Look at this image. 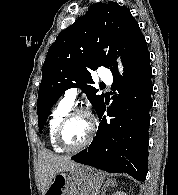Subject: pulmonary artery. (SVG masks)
Listing matches in <instances>:
<instances>
[{
    "mask_svg": "<svg viewBox=\"0 0 178 195\" xmlns=\"http://www.w3.org/2000/svg\"><path fill=\"white\" fill-rule=\"evenodd\" d=\"M100 78L105 84H111V82H112L111 74H110L109 70L105 67L102 69ZM79 93H80V88L71 87L65 91L62 99L66 103L73 105L75 103L76 98L78 97Z\"/></svg>",
    "mask_w": 178,
    "mask_h": 195,
    "instance_id": "obj_1",
    "label": "pulmonary artery"
}]
</instances>
